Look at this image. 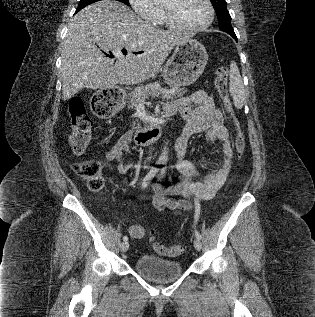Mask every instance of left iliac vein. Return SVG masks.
<instances>
[{
	"instance_id": "4c4485c4",
	"label": "left iliac vein",
	"mask_w": 315,
	"mask_h": 317,
	"mask_svg": "<svg viewBox=\"0 0 315 317\" xmlns=\"http://www.w3.org/2000/svg\"><path fill=\"white\" fill-rule=\"evenodd\" d=\"M194 247H195V249L198 250V251L201 250V248H202V242H201L200 239L195 238V240H194Z\"/></svg>"
}]
</instances>
